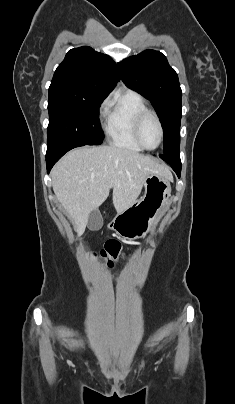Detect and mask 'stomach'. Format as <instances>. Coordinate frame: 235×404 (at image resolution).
I'll use <instances>...</instances> for the list:
<instances>
[{"instance_id": "obj_1", "label": "stomach", "mask_w": 235, "mask_h": 404, "mask_svg": "<svg viewBox=\"0 0 235 404\" xmlns=\"http://www.w3.org/2000/svg\"><path fill=\"white\" fill-rule=\"evenodd\" d=\"M144 195L124 211L117 213L108 228L119 236L134 240L144 238L165 211L171 195L167 178L152 174L144 181Z\"/></svg>"}]
</instances>
